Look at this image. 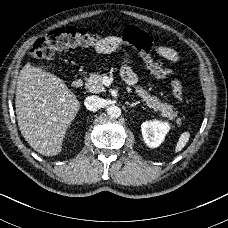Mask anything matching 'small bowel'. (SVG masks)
Wrapping results in <instances>:
<instances>
[{
    "label": "small bowel",
    "instance_id": "1",
    "mask_svg": "<svg viewBox=\"0 0 228 228\" xmlns=\"http://www.w3.org/2000/svg\"><path fill=\"white\" fill-rule=\"evenodd\" d=\"M134 46L140 51L141 58L147 70L158 79H165L173 71L154 61L149 52L152 47L156 55L170 62L177 63L180 60L179 53L174 48L159 44L153 46L151 38L143 30L133 26L126 27L121 37L108 36L102 39L95 50L98 54H104L111 53L121 47ZM121 73L127 83L133 84L137 81V76L132 69V60L130 58L126 59Z\"/></svg>",
    "mask_w": 228,
    "mask_h": 228
}]
</instances>
